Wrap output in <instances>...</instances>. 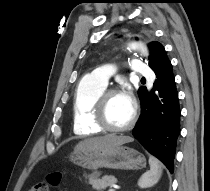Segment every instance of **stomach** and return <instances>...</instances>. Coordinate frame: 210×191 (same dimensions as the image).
<instances>
[{
    "label": "stomach",
    "mask_w": 210,
    "mask_h": 191,
    "mask_svg": "<svg viewBox=\"0 0 210 191\" xmlns=\"http://www.w3.org/2000/svg\"><path fill=\"white\" fill-rule=\"evenodd\" d=\"M70 159L74 164L89 170H140L146 166V159L141 153L122 145L104 149L74 150Z\"/></svg>",
    "instance_id": "stomach-1"
}]
</instances>
